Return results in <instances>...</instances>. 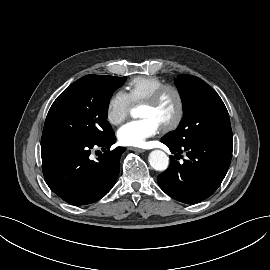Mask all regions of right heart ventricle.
Listing matches in <instances>:
<instances>
[{
  "label": "right heart ventricle",
  "mask_w": 270,
  "mask_h": 270,
  "mask_svg": "<svg viewBox=\"0 0 270 270\" xmlns=\"http://www.w3.org/2000/svg\"><path fill=\"white\" fill-rule=\"evenodd\" d=\"M165 82L157 76H138L127 84V91L133 103H141Z\"/></svg>",
  "instance_id": "e07e8e85"
}]
</instances>
